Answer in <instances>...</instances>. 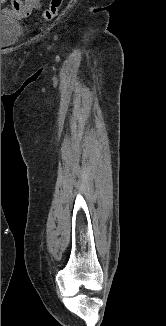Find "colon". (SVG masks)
I'll return each mask as SVG.
<instances>
[{
  "mask_svg": "<svg viewBox=\"0 0 166 326\" xmlns=\"http://www.w3.org/2000/svg\"><path fill=\"white\" fill-rule=\"evenodd\" d=\"M62 4L63 0H50L48 7L42 11L41 17L44 20H53L57 16Z\"/></svg>",
  "mask_w": 166,
  "mask_h": 326,
  "instance_id": "1",
  "label": "colon"
}]
</instances>
